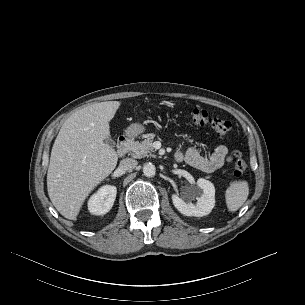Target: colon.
Instances as JSON below:
<instances>
[{
  "label": "colon",
  "mask_w": 305,
  "mask_h": 305,
  "mask_svg": "<svg viewBox=\"0 0 305 305\" xmlns=\"http://www.w3.org/2000/svg\"><path fill=\"white\" fill-rule=\"evenodd\" d=\"M186 116L191 125L199 127H207L218 135H225L231 129V123L223 118L212 117L203 109H189ZM235 164L233 174L235 177H241L247 168L246 162L240 151L234 152Z\"/></svg>",
  "instance_id": "obj_1"
}]
</instances>
